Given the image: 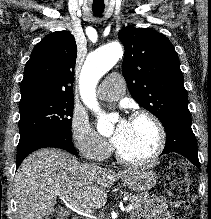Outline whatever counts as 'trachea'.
Instances as JSON below:
<instances>
[{
	"mask_svg": "<svg viewBox=\"0 0 211 219\" xmlns=\"http://www.w3.org/2000/svg\"><path fill=\"white\" fill-rule=\"evenodd\" d=\"M92 11L96 16H100L104 12V5L92 6Z\"/></svg>",
	"mask_w": 211,
	"mask_h": 219,
	"instance_id": "obj_1",
	"label": "trachea"
}]
</instances>
